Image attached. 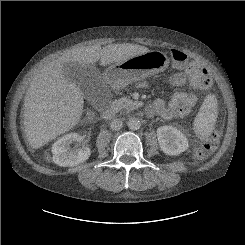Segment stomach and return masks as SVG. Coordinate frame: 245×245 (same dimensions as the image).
<instances>
[{"label":"stomach","instance_id":"stomach-1","mask_svg":"<svg viewBox=\"0 0 245 245\" xmlns=\"http://www.w3.org/2000/svg\"><path fill=\"white\" fill-rule=\"evenodd\" d=\"M169 66V58L161 51H148L105 70L104 78L113 89H121L137 80L163 72Z\"/></svg>","mask_w":245,"mask_h":245}]
</instances>
